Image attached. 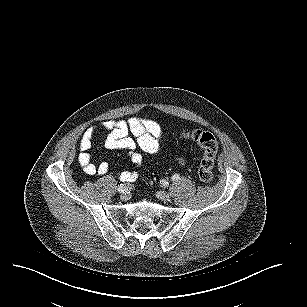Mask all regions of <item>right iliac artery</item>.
<instances>
[{
    "mask_svg": "<svg viewBox=\"0 0 307 307\" xmlns=\"http://www.w3.org/2000/svg\"><path fill=\"white\" fill-rule=\"evenodd\" d=\"M124 188H125V186H124L123 184H120V185L118 186L117 190H118L119 192H123V191H124Z\"/></svg>",
    "mask_w": 307,
    "mask_h": 307,
    "instance_id": "obj_1",
    "label": "right iliac artery"
}]
</instances>
